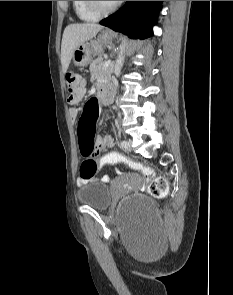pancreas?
I'll return each instance as SVG.
<instances>
[{
  "label": "pancreas",
  "mask_w": 233,
  "mask_h": 295,
  "mask_svg": "<svg viewBox=\"0 0 233 295\" xmlns=\"http://www.w3.org/2000/svg\"><path fill=\"white\" fill-rule=\"evenodd\" d=\"M104 63L105 61L101 57L92 61L89 67L92 78H101L109 72V67L103 68Z\"/></svg>",
  "instance_id": "obj_1"
}]
</instances>
